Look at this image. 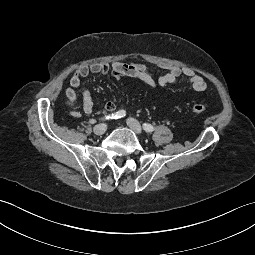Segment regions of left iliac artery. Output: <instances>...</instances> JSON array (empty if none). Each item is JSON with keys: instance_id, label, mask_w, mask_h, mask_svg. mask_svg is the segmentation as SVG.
I'll return each mask as SVG.
<instances>
[{"instance_id": "obj_1", "label": "left iliac artery", "mask_w": 255, "mask_h": 255, "mask_svg": "<svg viewBox=\"0 0 255 255\" xmlns=\"http://www.w3.org/2000/svg\"><path fill=\"white\" fill-rule=\"evenodd\" d=\"M143 129L146 131V132H153L154 130V127L151 125V124H148V123H144L143 124Z\"/></svg>"}]
</instances>
